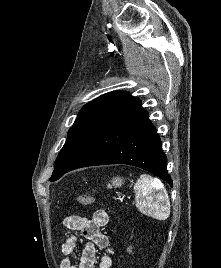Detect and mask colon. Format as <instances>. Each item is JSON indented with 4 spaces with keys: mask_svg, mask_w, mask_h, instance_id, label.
I'll return each mask as SVG.
<instances>
[{
    "mask_svg": "<svg viewBox=\"0 0 221 268\" xmlns=\"http://www.w3.org/2000/svg\"><path fill=\"white\" fill-rule=\"evenodd\" d=\"M76 201L81 205H88L94 201L92 196L82 195L77 197Z\"/></svg>",
    "mask_w": 221,
    "mask_h": 268,
    "instance_id": "colon-1",
    "label": "colon"
}]
</instances>
